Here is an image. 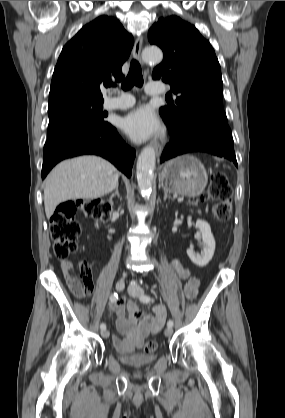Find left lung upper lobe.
Masks as SVG:
<instances>
[{
    "label": "left lung upper lobe",
    "mask_w": 285,
    "mask_h": 418,
    "mask_svg": "<svg viewBox=\"0 0 285 418\" xmlns=\"http://www.w3.org/2000/svg\"><path fill=\"white\" fill-rule=\"evenodd\" d=\"M148 40L164 53L152 78L170 84L177 96L175 102L159 110L170 134L182 133L202 119L227 124L221 69L209 41L177 16L160 18L149 29Z\"/></svg>",
    "instance_id": "left-lung-upper-lobe-1"
}]
</instances>
